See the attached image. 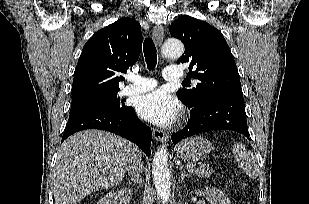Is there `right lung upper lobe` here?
Returning <instances> with one entry per match:
<instances>
[{"instance_id": "obj_1", "label": "right lung upper lobe", "mask_w": 309, "mask_h": 204, "mask_svg": "<svg viewBox=\"0 0 309 204\" xmlns=\"http://www.w3.org/2000/svg\"><path fill=\"white\" fill-rule=\"evenodd\" d=\"M141 47V26L134 19L121 18L96 32L78 60L72 104L118 92L121 73L136 63Z\"/></svg>"}]
</instances>
